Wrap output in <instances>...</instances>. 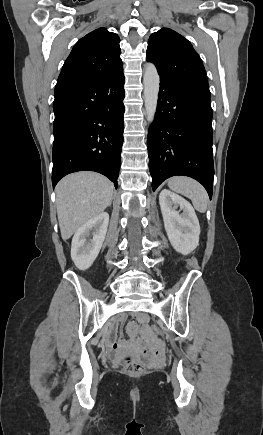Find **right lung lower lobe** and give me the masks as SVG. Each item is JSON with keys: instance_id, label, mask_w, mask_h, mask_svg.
Returning <instances> with one entry per match:
<instances>
[{"instance_id": "obj_1", "label": "right lung lower lobe", "mask_w": 263, "mask_h": 435, "mask_svg": "<svg viewBox=\"0 0 263 435\" xmlns=\"http://www.w3.org/2000/svg\"><path fill=\"white\" fill-rule=\"evenodd\" d=\"M54 96L53 187L69 173L89 170L105 175L117 188L124 131L123 70Z\"/></svg>"}]
</instances>
